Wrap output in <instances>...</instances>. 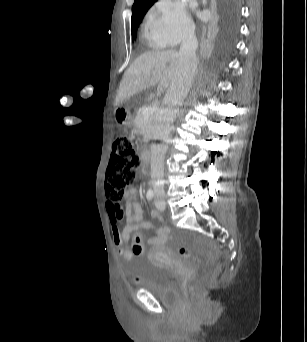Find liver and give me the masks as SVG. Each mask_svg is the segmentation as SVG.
<instances>
[{
    "instance_id": "1",
    "label": "liver",
    "mask_w": 307,
    "mask_h": 342,
    "mask_svg": "<svg viewBox=\"0 0 307 342\" xmlns=\"http://www.w3.org/2000/svg\"><path fill=\"white\" fill-rule=\"evenodd\" d=\"M176 50L144 52L126 70L115 98V106L158 84V92L171 86L178 66Z\"/></svg>"
}]
</instances>
